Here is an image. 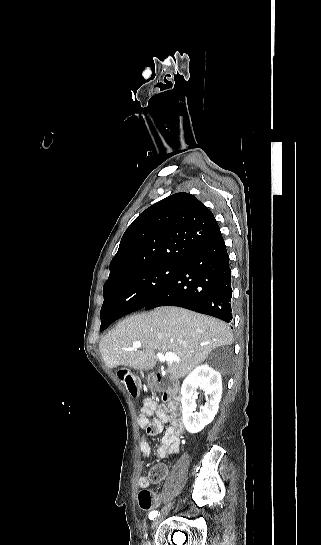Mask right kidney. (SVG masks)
<instances>
[{"instance_id": "right-kidney-1", "label": "right kidney", "mask_w": 321, "mask_h": 545, "mask_svg": "<svg viewBox=\"0 0 321 545\" xmlns=\"http://www.w3.org/2000/svg\"><path fill=\"white\" fill-rule=\"evenodd\" d=\"M198 387L204 391L207 403L202 407L201 413H194L197 407L194 395ZM181 393L182 417L185 429L188 433H199L204 429L205 425L212 423L218 413L222 397L221 375L209 365L196 367L183 381Z\"/></svg>"}]
</instances>
